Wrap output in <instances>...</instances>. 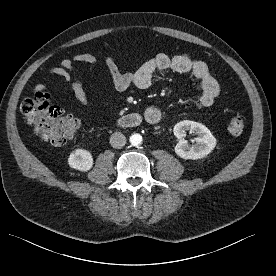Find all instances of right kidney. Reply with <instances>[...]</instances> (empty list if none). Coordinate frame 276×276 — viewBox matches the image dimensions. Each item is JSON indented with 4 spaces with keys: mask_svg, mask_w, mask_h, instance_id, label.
I'll use <instances>...</instances> for the list:
<instances>
[{
    "mask_svg": "<svg viewBox=\"0 0 276 276\" xmlns=\"http://www.w3.org/2000/svg\"><path fill=\"white\" fill-rule=\"evenodd\" d=\"M68 164L73 169L89 171L93 166L92 154L85 149H76L69 155Z\"/></svg>",
    "mask_w": 276,
    "mask_h": 276,
    "instance_id": "ca27d5eb",
    "label": "right kidney"
}]
</instances>
